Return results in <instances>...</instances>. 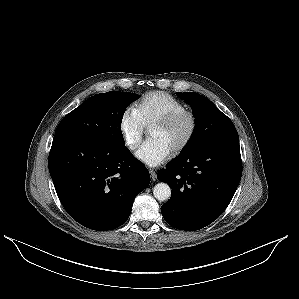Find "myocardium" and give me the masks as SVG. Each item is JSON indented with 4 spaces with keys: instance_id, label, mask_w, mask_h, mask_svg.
Wrapping results in <instances>:
<instances>
[{
    "instance_id": "1",
    "label": "myocardium",
    "mask_w": 299,
    "mask_h": 299,
    "mask_svg": "<svg viewBox=\"0 0 299 299\" xmlns=\"http://www.w3.org/2000/svg\"><path fill=\"white\" fill-rule=\"evenodd\" d=\"M183 120H188L189 130L183 141L172 151L173 155L183 153L194 139L197 131L198 121L196 115L191 111H183L156 122L152 128L169 129Z\"/></svg>"
}]
</instances>
